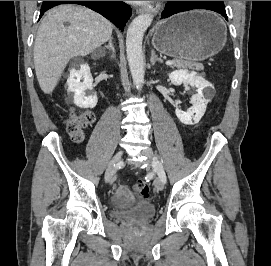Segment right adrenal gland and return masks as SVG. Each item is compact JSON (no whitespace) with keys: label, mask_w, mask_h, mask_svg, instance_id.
I'll return each mask as SVG.
<instances>
[{"label":"right adrenal gland","mask_w":271,"mask_h":266,"mask_svg":"<svg viewBox=\"0 0 271 266\" xmlns=\"http://www.w3.org/2000/svg\"><path fill=\"white\" fill-rule=\"evenodd\" d=\"M105 48H107L109 51L112 52L111 58H114L115 57V48H114V45H113V37L109 38V44L106 45Z\"/></svg>","instance_id":"obj_1"}]
</instances>
